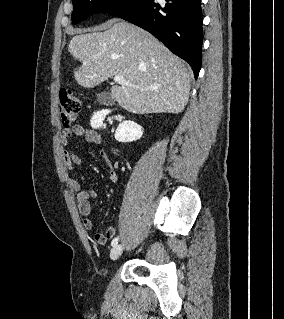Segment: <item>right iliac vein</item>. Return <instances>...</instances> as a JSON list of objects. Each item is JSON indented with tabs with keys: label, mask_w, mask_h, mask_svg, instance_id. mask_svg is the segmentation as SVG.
I'll list each match as a JSON object with an SVG mask.
<instances>
[{
	"label": "right iliac vein",
	"mask_w": 284,
	"mask_h": 319,
	"mask_svg": "<svg viewBox=\"0 0 284 319\" xmlns=\"http://www.w3.org/2000/svg\"><path fill=\"white\" fill-rule=\"evenodd\" d=\"M123 252V245L119 244L113 247V249L110 252V258L111 260H117Z\"/></svg>",
	"instance_id": "right-iliac-vein-1"
}]
</instances>
